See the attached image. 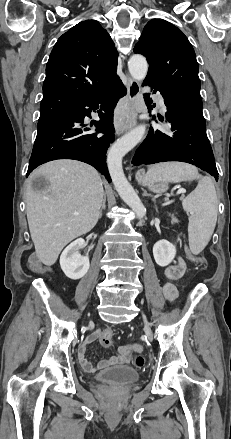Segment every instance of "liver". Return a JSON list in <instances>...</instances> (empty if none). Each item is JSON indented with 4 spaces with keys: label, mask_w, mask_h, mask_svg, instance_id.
<instances>
[{
    "label": "liver",
    "mask_w": 231,
    "mask_h": 439,
    "mask_svg": "<svg viewBox=\"0 0 231 439\" xmlns=\"http://www.w3.org/2000/svg\"><path fill=\"white\" fill-rule=\"evenodd\" d=\"M38 176L49 183L40 193L31 188ZM103 196L99 173L83 162L55 160L34 170L27 182L26 212L36 255L44 265L52 266L69 242L94 228Z\"/></svg>",
    "instance_id": "liver-1"
}]
</instances>
